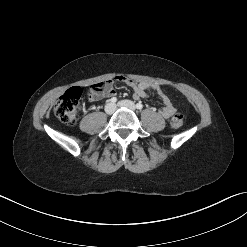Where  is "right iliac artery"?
Here are the masks:
<instances>
[{
	"mask_svg": "<svg viewBox=\"0 0 247 247\" xmlns=\"http://www.w3.org/2000/svg\"><path fill=\"white\" fill-rule=\"evenodd\" d=\"M110 102L113 103V104L116 103V102H117V98H116V97H112V98L110 99Z\"/></svg>",
	"mask_w": 247,
	"mask_h": 247,
	"instance_id": "1",
	"label": "right iliac artery"
}]
</instances>
